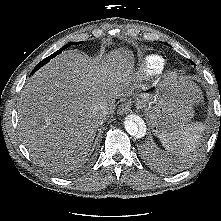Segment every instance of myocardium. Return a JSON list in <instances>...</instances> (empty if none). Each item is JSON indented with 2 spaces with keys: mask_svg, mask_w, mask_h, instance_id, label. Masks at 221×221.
<instances>
[{
  "mask_svg": "<svg viewBox=\"0 0 221 221\" xmlns=\"http://www.w3.org/2000/svg\"><path fill=\"white\" fill-rule=\"evenodd\" d=\"M181 76L179 67H171L166 73L163 81V90H169L176 85Z\"/></svg>",
  "mask_w": 221,
  "mask_h": 221,
  "instance_id": "f54148a6",
  "label": "myocardium"
}]
</instances>
